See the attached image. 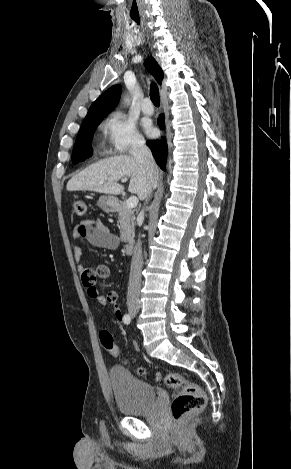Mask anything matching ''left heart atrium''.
Segmentation results:
<instances>
[{
  "mask_svg": "<svg viewBox=\"0 0 291 469\" xmlns=\"http://www.w3.org/2000/svg\"><path fill=\"white\" fill-rule=\"evenodd\" d=\"M146 132H147V134H148V135H150V136H151V135H153V133H154V130H153V128H152V127H150V126H147V127H146Z\"/></svg>",
  "mask_w": 291,
  "mask_h": 469,
  "instance_id": "obj_1",
  "label": "left heart atrium"
}]
</instances>
